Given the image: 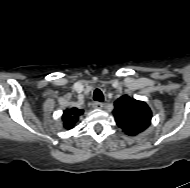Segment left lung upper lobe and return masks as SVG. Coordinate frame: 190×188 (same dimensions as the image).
Instances as JSON below:
<instances>
[{
	"label": "left lung upper lobe",
	"instance_id": "5c2ea615",
	"mask_svg": "<svg viewBox=\"0 0 190 188\" xmlns=\"http://www.w3.org/2000/svg\"><path fill=\"white\" fill-rule=\"evenodd\" d=\"M114 106L116 124L128 135H137L151 124V110L143 101L123 95L115 101Z\"/></svg>",
	"mask_w": 190,
	"mask_h": 188
}]
</instances>
